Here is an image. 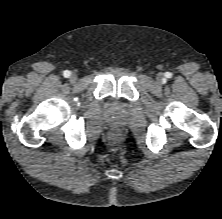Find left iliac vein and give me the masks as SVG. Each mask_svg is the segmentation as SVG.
<instances>
[{
  "instance_id": "1",
  "label": "left iliac vein",
  "mask_w": 222,
  "mask_h": 219,
  "mask_svg": "<svg viewBox=\"0 0 222 219\" xmlns=\"http://www.w3.org/2000/svg\"><path fill=\"white\" fill-rule=\"evenodd\" d=\"M156 79L158 82H161L162 81V74H158Z\"/></svg>"
}]
</instances>
